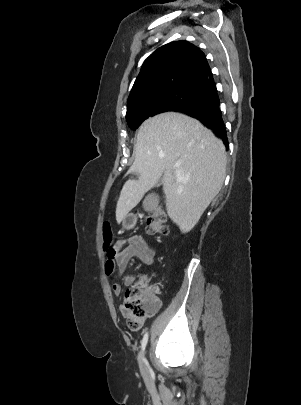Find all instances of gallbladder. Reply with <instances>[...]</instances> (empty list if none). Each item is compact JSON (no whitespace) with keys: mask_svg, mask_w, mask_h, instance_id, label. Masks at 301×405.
Here are the masks:
<instances>
[{"mask_svg":"<svg viewBox=\"0 0 301 405\" xmlns=\"http://www.w3.org/2000/svg\"><path fill=\"white\" fill-rule=\"evenodd\" d=\"M161 184H162V179H160V180L157 182L156 186L158 187V186H160Z\"/></svg>","mask_w":301,"mask_h":405,"instance_id":"1","label":"gallbladder"}]
</instances>
